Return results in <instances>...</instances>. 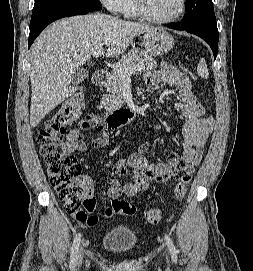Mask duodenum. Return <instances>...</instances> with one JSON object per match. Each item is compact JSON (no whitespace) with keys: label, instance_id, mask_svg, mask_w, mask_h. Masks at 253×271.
<instances>
[{"label":"duodenum","instance_id":"1","mask_svg":"<svg viewBox=\"0 0 253 271\" xmlns=\"http://www.w3.org/2000/svg\"><path fill=\"white\" fill-rule=\"evenodd\" d=\"M106 79V72L98 70L93 75V83L96 86L103 85ZM138 108L118 107L106 112L105 120L110 128H120L139 116Z\"/></svg>","mask_w":253,"mask_h":271}]
</instances>
